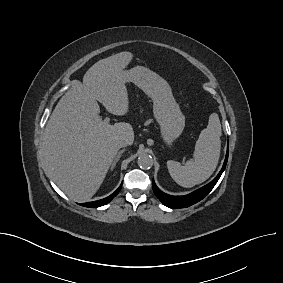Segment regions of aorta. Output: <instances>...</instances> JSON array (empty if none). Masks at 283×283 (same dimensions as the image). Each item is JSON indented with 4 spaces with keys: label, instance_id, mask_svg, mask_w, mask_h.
I'll return each mask as SVG.
<instances>
[{
    "label": "aorta",
    "instance_id": "762f6f07",
    "mask_svg": "<svg viewBox=\"0 0 283 283\" xmlns=\"http://www.w3.org/2000/svg\"><path fill=\"white\" fill-rule=\"evenodd\" d=\"M138 165L142 169H150L153 166V158L147 153H142L138 157Z\"/></svg>",
    "mask_w": 283,
    "mask_h": 283
}]
</instances>
